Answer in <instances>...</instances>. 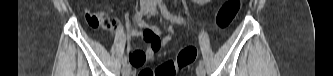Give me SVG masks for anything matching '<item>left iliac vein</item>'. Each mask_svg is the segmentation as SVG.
I'll list each match as a JSON object with an SVG mask.
<instances>
[{"mask_svg":"<svg viewBox=\"0 0 333 76\" xmlns=\"http://www.w3.org/2000/svg\"><path fill=\"white\" fill-rule=\"evenodd\" d=\"M151 14L156 15V9L152 8L150 11ZM197 76H205V69L202 65H199L196 69Z\"/></svg>","mask_w":333,"mask_h":76,"instance_id":"left-iliac-vein-1","label":"left iliac vein"}]
</instances>
